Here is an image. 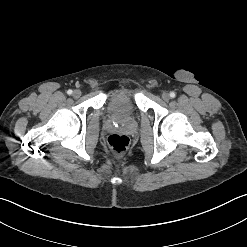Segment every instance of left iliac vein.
Returning a JSON list of instances; mask_svg holds the SVG:
<instances>
[{"label":"left iliac vein","mask_w":247,"mask_h":247,"mask_svg":"<svg viewBox=\"0 0 247 247\" xmlns=\"http://www.w3.org/2000/svg\"><path fill=\"white\" fill-rule=\"evenodd\" d=\"M162 99L164 100V101H169L170 100V95H169V93H167V92H164L163 94H162Z\"/></svg>","instance_id":"left-iliac-vein-1"}]
</instances>
